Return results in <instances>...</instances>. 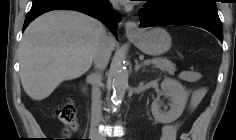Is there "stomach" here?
I'll return each instance as SVG.
<instances>
[{
    "label": "stomach",
    "instance_id": "1",
    "mask_svg": "<svg viewBox=\"0 0 236 140\" xmlns=\"http://www.w3.org/2000/svg\"><path fill=\"white\" fill-rule=\"evenodd\" d=\"M128 38L148 55H161L171 47V37L162 28H152L150 30H139L137 33L128 35Z\"/></svg>",
    "mask_w": 236,
    "mask_h": 140
}]
</instances>
